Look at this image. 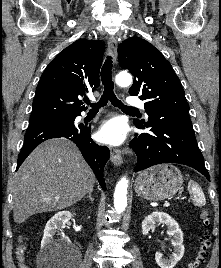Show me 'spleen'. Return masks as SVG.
Here are the masks:
<instances>
[{
  "mask_svg": "<svg viewBox=\"0 0 221 268\" xmlns=\"http://www.w3.org/2000/svg\"><path fill=\"white\" fill-rule=\"evenodd\" d=\"M188 191L193 196V201L197 206H204L206 204V199L204 192L201 187L193 180H190L188 183Z\"/></svg>",
  "mask_w": 221,
  "mask_h": 268,
  "instance_id": "obj_1",
  "label": "spleen"
}]
</instances>
